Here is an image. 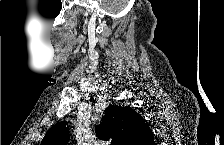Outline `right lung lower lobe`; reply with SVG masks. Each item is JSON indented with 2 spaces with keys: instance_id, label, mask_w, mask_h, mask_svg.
Wrapping results in <instances>:
<instances>
[{
  "instance_id": "obj_1",
  "label": "right lung lower lobe",
  "mask_w": 224,
  "mask_h": 145,
  "mask_svg": "<svg viewBox=\"0 0 224 145\" xmlns=\"http://www.w3.org/2000/svg\"><path fill=\"white\" fill-rule=\"evenodd\" d=\"M148 144H149V145L154 144L153 138L149 141V143H148Z\"/></svg>"
}]
</instances>
